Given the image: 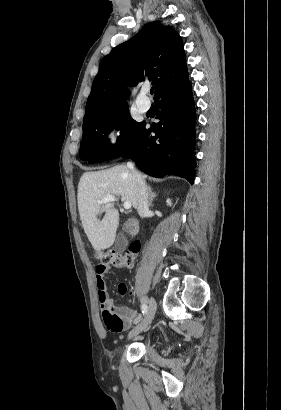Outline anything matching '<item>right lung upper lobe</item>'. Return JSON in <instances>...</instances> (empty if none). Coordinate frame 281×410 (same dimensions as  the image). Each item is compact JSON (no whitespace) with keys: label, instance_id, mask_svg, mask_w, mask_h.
Here are the masks:
<instances>
[{"label":"right lung upper lobe","instance_id":"cb5924a9","mask_svg":"<svg viewBox=\"0 0 281 410\" xmlns=\"http://www.w3.org/2000/svg\"><path fill=\"white\" fill-rule=\"evenodd\" d=\"M144 80L152 81L155 98L188 80L182 39L173 28L159 21L146 24L101 60L83 124L126 108L129 91L125 86Z\"/></svg>","mask_w":281,"mask_h":410}]
</instances>
